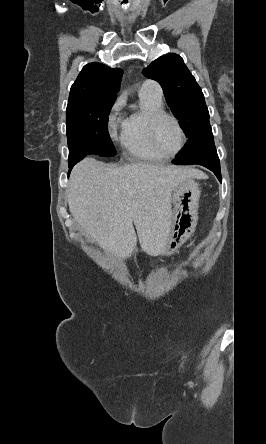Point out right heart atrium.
<instances>
[{"label": "right heart atrium", "mask_w": 266, "mask_h": 444, "mask_svg": "<svg viewBox=\"0 0 266 444\" xmlns=\"http://www.w3.org/2000/svg\"><path fill=\"white\" fill-rule=\"evenodd\" d=\"M124 97H119L114 103L107 119V131L112 140L116 138L120 127H123L124 122L121 116V110L124 105Z\"/></svg>", "instance_id": "d8ad5b80"}]
</instances>
